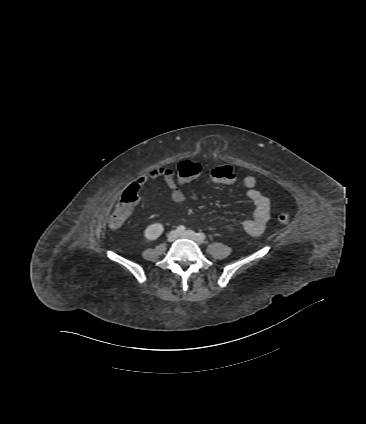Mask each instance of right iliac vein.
I'll return each instance as SVG.
<instances>
[{
	"label": "right iliac vein",
	"instance_id": "right-iliac-vein-1",
	"mask_svg": "<svg viewBox=\"0 0 366 424\" xmlns=\"http://www.w3.org/2000/svg\"><path fill=\"white\" fill-rule=\"evenodd\" d=\"M178 237V231L173 230L168 234V241L173 242Z\"/></svg>",
	"mask_w": 366,
	"mask_h": 424
}]
</instances>
